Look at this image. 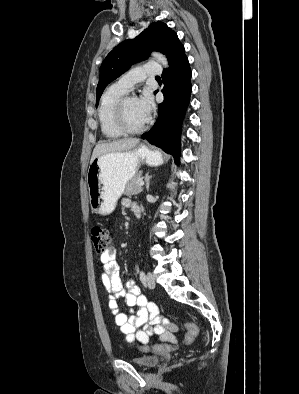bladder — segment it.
<instances>
[{
  "mask_svg": "<svg viewBox=\"0 0 299 394\" xmlns=\"http://www.w3.org/2000/svg\"><path fill=\"white\" fill-rule=\"evenodd\" d=\"M160 361V357L156 355H138L130 358V362L142 368L155 367Z\"/></svg>",
  "mask_w": 299,
  "mask_h": 394,
  "instance_id": "31cf9c89",
  "label": "bladder"
}]
</instances>
